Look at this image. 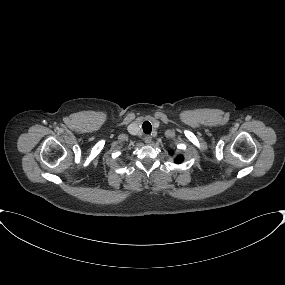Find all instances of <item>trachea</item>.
I'll return each mask as SVG.
<instances>
[{
	"label": "trachea",
	"mask_w": 285,
	"mask_h": 285,
	"mask_svg": "<svg viewBox=\"0 0 285 285\" xmlns=\"http://www.w3.org/2000/svg\"><path fill=\"white\" fill-rule=\"evenodd\" d=\"M142 128H143V132L145 134H150L151 131H152V125L148 122V121H145L143 124H142Z\"/></svg>",
	"instance_id": "trachea-1"
}]
</instances>
